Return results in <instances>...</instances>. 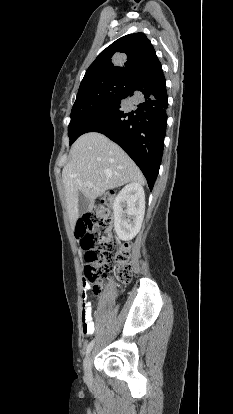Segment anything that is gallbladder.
<instances>
[{
	"label": "gallbladder",
	"mask_w": 233,
	"mask_h": 414,
	"mask_svg": "<svg viewBox=\"0 0 233 414\" xmlns=\"http://www.w3.org/2000/svg\"><path fill=\"white\" fill-rule=\"evenodd\" d=\"M90 208V201L89 199L83 194L79 193V202H78V211L79 215L82 216L89 211Z\"/></svg>",
	"instance_id": "1"
}]
</instances>
